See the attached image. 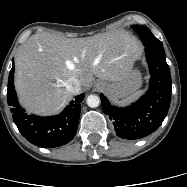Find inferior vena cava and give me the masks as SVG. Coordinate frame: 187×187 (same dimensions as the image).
Segmentation results:
<instances>
[{
	"label": "inferior vena cava",
	"mask_w": 187,
	"mask_h": 187,
	"mask_svg": "<svg viewBox=\"0 0 187 187\" xmlns=\"http://www.w3.org/2000/svg\"><path fill=\"white\" fill-rule=\"evenodd\" d=\"M66 88L68 91H70L71 93L73 94H77L79 93V91L81 90V84H80V81L77 79V78H70L68 81H67V84H66Z\"/></svg>",
	"instance_id": "inferior-vena-cava-1"
}]
</instances>
